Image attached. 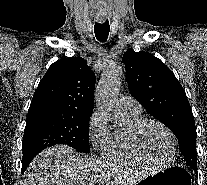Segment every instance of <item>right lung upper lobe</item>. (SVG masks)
<instances>
[{
	"label": "right lung upper lobe",
	"instance_id": "1",
	"mask_svg": "<svg viewBox=\"0 0 207 185\" xmlns=\"http://www.w3.org/2000/svg\"><path fill=\"white\" fill-rule=\"evenodd\" d=\"M95 80V74L81 57L58 60L39 82L28 114L90 118L94 108Z\"/></svg>",
	"mask_w": 207,
	"mask_h": 185
}]
</instances>
